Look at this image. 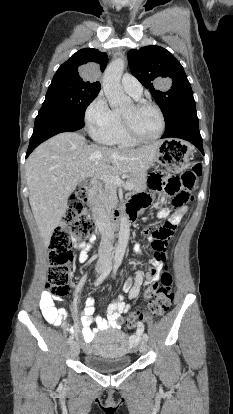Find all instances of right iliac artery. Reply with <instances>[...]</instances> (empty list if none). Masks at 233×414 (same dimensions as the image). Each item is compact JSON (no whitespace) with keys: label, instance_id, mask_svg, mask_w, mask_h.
<instances>
[{"label":"right iliac artery","instance_id":"1","mask_svg":"<svg viewBox=\"0 0 233 414\" xmlns=\"http://www.w3.org/2000/svg\"><path fill=\"white\" fill-rule=\"evenodd\" d=\"M112 268H113V265L111 264V265H109L104 271H103V273L96 279V281L94 282V285L97 287V286H99L106 278H107V276L110 274V272H111V270H112ZM73 340H74V337H73V335H71L69 338H68V344H71L72 342H73Z\"/></svg>","mask_w":233,"mask_h":414}]
</instances>
